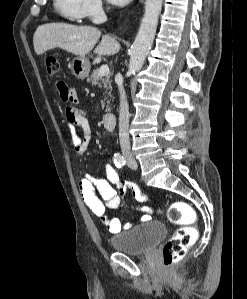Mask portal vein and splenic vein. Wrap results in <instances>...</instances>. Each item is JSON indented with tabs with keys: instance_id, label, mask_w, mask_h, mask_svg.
Instances as JSON below:
<instances>
[{
	"instance_id": "obj_1",
	"label": "portal vein and splenic vein",
	"mask_w": 247,
	"mask_h": 299,
	"mask_svg": "<svg viewBox=\"0 0 247 299\" xmlns=\"http://www.w3.org/2000/svg\"><path fill=\"white\" fill-rule=\"evenodd\" d=\"M109 67L108 65H101L99 71H98V75L99 76H105L109 73Z\"/></svg>"
}]
</instances>
